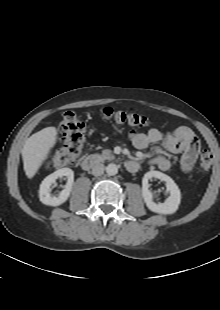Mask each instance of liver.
Here are the masks:
<instances>
[{
  "label": "liver",
  "instance_id": "6515ba94",
  "mask_svg": "<svg viewBox=\"0 0 220 310\" xmlns=\"http://www.w3.org/2000/svg\"><path fill=\"white\" fill-rule=\"evenodd\" d=\"M57 129L46 127L30 136L23 146L22 159L26 176H35L57 141Z\"/></svg>",
  "mask_w": 220,
  "mask_h": 310
}]
</instances>
